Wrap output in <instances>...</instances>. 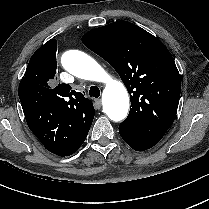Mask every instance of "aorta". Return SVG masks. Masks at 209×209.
I'll return each instance as SVG.
<instances>
[{
    "label": "aorta",
    "mask_w": 209,
    "mask_h": 209,
    "mask_svg": "<svg viewBox=\"0 0 209 209\" xmlns=\"http://www.w3.org/2000/svg\"><path fill=\"white\" fill-rule=\"evenodd\" d=\"M63 67L76 77L106 83L103 92V110L115 122L126 118L129 96L125 86L113 79L91 56L79 50H69L62 56Z\"/></svg>",
    "instance_id": "762f6f07"
}]
</instances>
